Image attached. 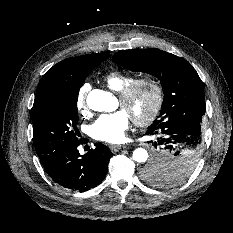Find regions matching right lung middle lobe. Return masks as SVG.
I'll use <instances>...</instances> for the list:
<instances>
[{"label": "right lung middle lobe", "mask_w": 233, "mask_h": 233, "mask_svg": "<svg viewBox=\"0 0 233 233\" xmlns=\"http://www.w3.org/2000/svg\"><path fill=\"white\" fill-rule=\"evenodd\" d=\"M88 73L70 91L48 94L32 108L35 149L40 159L53 156L79 142L77 100Z\"/></svg>", "instance_id": "obj_1"}]
</instances>
